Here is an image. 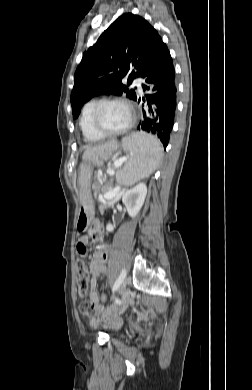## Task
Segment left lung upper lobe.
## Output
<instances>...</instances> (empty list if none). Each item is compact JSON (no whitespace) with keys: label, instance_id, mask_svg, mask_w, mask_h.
<instances>
[{"label":"left lung upper lobe","instance_id":"obj_1","mask_svg":"<svg viewBox=\"0 0 252 390\" xmlns=\"http://www.w3.org/2000/svg\"><path fill=\"white\" fill-rule=\"evenodd\" d=\"M158 32L142 17L125 13L117 18L83 54L76 69L71 94L73 118L92 97L100 94L120 96L126 93L136 100L130 85L142 77L162 44Z\"/></svg>","mask_w":252,"mask_h":390}]
</instances>
